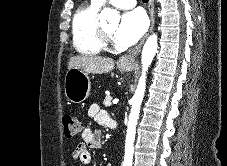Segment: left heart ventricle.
Masks as SVG:
<instances>
[{
    "instance_id": "left-heart-ventricle-1",
    "label": "left heart ventricle",
    "mask_w": 227,
    "mask_h": 166,
    "mask_svg": "<svg viewBox=\"0 0 227 166\" xmlns=\"http://www.w3.org/2000/svg\"><path fill=\"white\" fill-rule=\"evenodd\" d=\"M103 27L108 33L112 34L114 32V29L116 26H115V24L106 23L103 25Z\"/></svg>"
}]
</instances>
